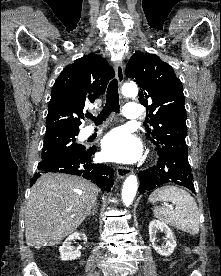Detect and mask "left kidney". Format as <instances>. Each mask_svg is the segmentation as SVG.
I'll use <instances>...</instances> for the list:
<instances>
[{
	"mask_svg": "<svg viewBox=\"0 0 221 276\" xmlns=\"http://www.w3.org/2000/svg\"><path fill=\"white\" fill-rule=\"evenodd\" d=\"M159 230L166 234L167 242L165 246L154 245L156 241V234ZM149 238L150 242H152L153 244L155 251L162 256H170L176 247V241L171 229L165 223L159 220H152L149 223Z\"/></svg>",
	"mask_w": 221,
	"mask_h": 276,
	"instance_id": "5707ae66",
	"label": "left kidney"
}]
</instances>
